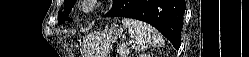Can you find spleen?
Listing matches in <instances>:
<instances>
[{
	"label": "spleen",
	"instance_id": "1",
	"mask_svg": "<svg viewBox=\"0 0 249 57\" xmlns=\"http://www.w3.org/2000/svg\"><path fill=\"white\" fill-rule=\"evenodd\" d=\"M122 24L128 28L131 38L134 39V48L136 50L162 46L165 43L162 35L154 27L143 21L124 18Z\"/></svg>",
	"mask_w": 249,
	"mask_h": 57
}]
</instances>
